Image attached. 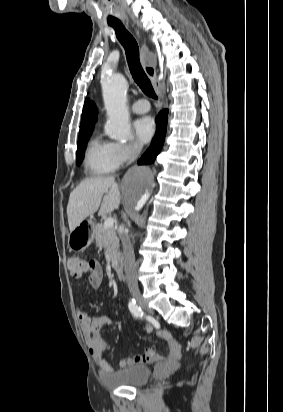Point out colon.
Returning <instances> with one entry per match:
<instances>
[{
    "mask_svg": "<svg viewBox=\"0 0 283 412\" xmlns=\"http://www.w3.org/2000/svg\"><path fill=\"white\" fill-rule=\"evenodd\" d=\"M96 262L92 259L83 260L79 257H71L67 261L69 274L75 278H81L85 273L95 270Z\"/></svg>",
    "mask_w": 283,
    "mask_h": 412,
    "instance_id": "colon-1",
    "label": "colon"
}]
</instances>
